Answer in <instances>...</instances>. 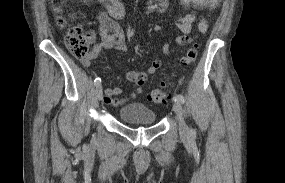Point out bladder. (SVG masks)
I'll return each instance as SVG.
<instances>
[{"label": "bladder", "mask_w": 285, "mask_h": 183, "mask_svg": "<svg viewBox=\"0 0 285 183\" xmlns=\"http://www.w3.org/2000/svg\"><path fill=\"white\" fill-rule=\"evenodd\" d=\"M119 118L125 123L154 124L156 113L139 103H130L123 106L118 112Z\"/></svg>", "instance_id": "1"}]
</instances>
